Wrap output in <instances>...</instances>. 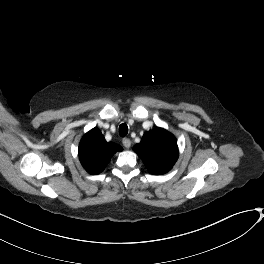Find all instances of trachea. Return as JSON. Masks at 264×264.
I'll list each match as a JSON object with an SVG mask.
<instances>
[{
	"mask_svg": "<svg viewBox=\"0 0 264 264\" xmlns=\"http://www.w3.org/2000/svg\"><path fill=\"white\" fill-rule=\"evenodd\" d=\"M119 133H120L121 136H126L127 135V133H128V126L125 123H123V124H121L119 126Z\"/></svg>",
	"mask_w": 264,
	"mask_h": 264,
	"instance_id": "3493384b",
	"label": "trachea"
}]
</instances>
